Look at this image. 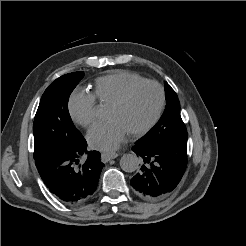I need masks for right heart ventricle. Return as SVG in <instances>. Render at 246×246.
I'll list each match as a JSON object with an SVG mask.
<instances>
[{"instance_id": "obj_1", "label": "right heart ventricle", "mask_w": 246, "mask_h": 246, "mask_svg": "<svg viewBox=\"0 0 246 246\" xmlns=\"http://www.w3.org/2000/svg\"><path fill=\"white\" fill-rule=\"evenodd\" d=\"M143 79L132 72L114 71L95 80L92 95L99 103L110 106L128 86Z\"/></svg>"}]
</instances>
